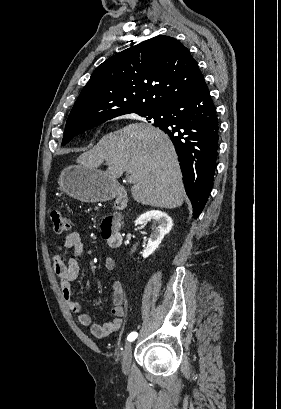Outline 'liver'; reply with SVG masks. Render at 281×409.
I'll return each mask as SVG.
<instances>
[{
  "instance_id": "6515ba94",
  "label": "liver",
  "mask_w": 281,
  "mask_h": 409,
  "mask_svg": "<svg viewBox=\"0 0 281 409\" xmlns=\"http://www.w3.org/2000/svg\"><path fill=\"white\" fill-rule=\"evenodd\" d=\"M103 160L111 180L131 174V194L136 202L160 209L182 207L185 188L174 146L160 128L133 122L105 134L96 146L77 158L79 164L99 168Z\"/></svg>"
}]
</instances>
